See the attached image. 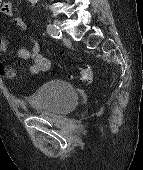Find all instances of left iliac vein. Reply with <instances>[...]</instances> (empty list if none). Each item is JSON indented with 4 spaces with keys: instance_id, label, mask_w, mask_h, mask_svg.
Instances as JSON below:
<instances>
[{
    "instance_id": "1",
    "label": "left iliac vein",
    "mask_w": 143,
    "mask_h": 170,
    "mask_svg": "<svg viewBox=\"0 0 143 170\" xmlns=\"http://www.w3.org/2000/svg\"><path fill=\"white\" fill-rule=\"evenodd\" d=\"M53 24H55L56 26H61V21L59 20H54Z\"/></svg>"
}]
</instances>
